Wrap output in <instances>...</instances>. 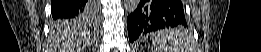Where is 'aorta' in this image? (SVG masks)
<instances>
[{
    "label": "aorta",
    "mask_w": 261,
    "mask_h": 52,
    "mask_svg": "<svg viewBox=\"0 0 261 52\" xmlns=\"http://www.w3.org/2000/svg\"><path fill=\"white\" fill-rule=\"evenodd\" d=\"M139 5V0H124L126 12L133 13Z\"/></svg>",
    "instance_id": "1"
}]
</instances>
